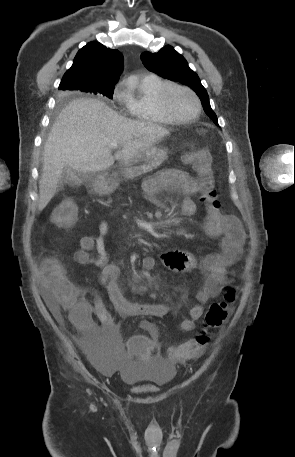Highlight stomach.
<instances>
[{
  "label": "stomach",
  "mask_w": 295,
  "mask_h": 457,
  "mask_svg": "<svg viewBox=\"0 0 295 457\" xmlns=\"http://www.w3.org/2000/svg\"><path fill=\"white\" fill-rule=\"evenodd\" d=\"M168 157V148L152 146L142 150L129 160L121 161L116 168L99 172L92 182L93 189L99 194H109L119 185L121 177L134 179L160 166Z\"/></svg>",
  "instance_id": "1"
}]
</instances>
